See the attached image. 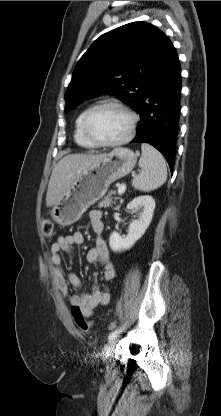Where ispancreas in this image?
I'll use <instances>...</instances> for the list:
<instances>
[{"mask_svg": "<svg viewBox=\"0 0 221 416\" xmlns=\"http://www.w3.org/2000/svg\"><path fill=\"white\" fill-rule=\"evenodd\" d=\"M112 194H114V192H110L106 197H104V199H102L99 203H98V207L99 208H108V207H112V205L115 203V201H113V197ZM118 198L116 197L115 200H117Z\"/></svg>", "mask_w": 221, "mask_h": 416, "instance_id": "cf45deb5", "label": "pancreas"}]
</instances>
